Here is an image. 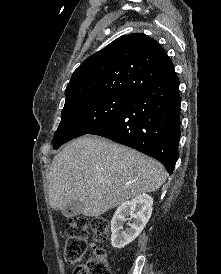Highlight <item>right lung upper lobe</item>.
Here are the masks:
<instances>
[{
  "mask_svg": "<svg viewBox=\"0 0 221 274\" xmlns=\"http://www.w3.org/2000/svg\"><path fill=\"white\" fill-rule=\"evenodd\" d=\"M173 69L157 41L143 33L125 35L74 71L65 90V103L103 95L133 97Z\"/></svg>",
  "mask_w": 221,
  "mask_h": 274,
  "instance_id": "right-lung-upper-lobe-1",
  "label": "right lung upper lobe"
}]
</instances>
